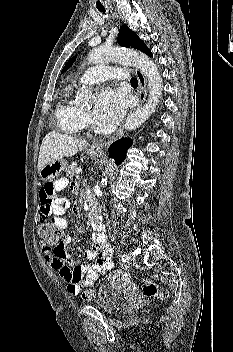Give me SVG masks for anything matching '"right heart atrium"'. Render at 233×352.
<instances>
[{"instance_id": "1", "label": "right heart atrium", "mask_w": 233, "mask_h": 352, "mask_svg": "<svg viewBox=\"0 0 233 352\" xmlns=\"http://www.w3.org/2000/svg\"><path fill=\"white\" fill-rule=\"evenodd\" d=\"M85 122L88 123L89 122V117L87 115H85Z\"/></svg>"}]
</instances>
